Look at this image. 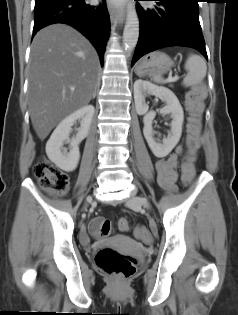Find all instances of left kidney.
Returning a JSON list of instances; mask_svg holds the SVG:
<instances>
[{
  "instance_id": "obj_1",
  "label": "left kidney",
  "mask_w": 238,
  "mask_h": 315,
  "mask_svg": "<svg viewBox=\"0 0 238 315\" xmlns=\"http://www.w3.org/2000/svg\"><path fill=\"white\" fill-rule=\"evenodd\" d=\"M147 94L154 95L166 103V106L161 109L162 114H171V131L167 138L163 139L162 143H158L153 138L154 131L152 122L155 118V112H148V105L145 102ZM134 101L136 112L138 115H144L143 134L144 137L156 157L162 158L167 156L177 145L182 134V125L184 120L183 109L176 95L166 87L156 86L149 81L138 79L134 83Z\"/></svg>"
}]
</instances>
